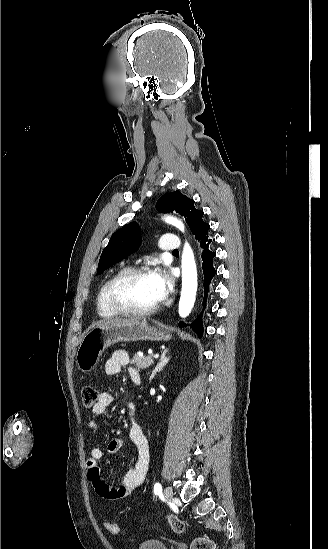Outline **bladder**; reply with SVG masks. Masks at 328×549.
Segmentation results:
<instances>
[{"label":"bladder","instance_id":"1","mask_svg":"<svg viewBox=\"0 0 328 549\" xmlns=\"http://www.w3.org/2000/svg\"><path fill=\"white\" fill-rule=\"evenodd\" d=\"M142 549H167L165 545L161 542H157L154 540H147Z\"/></svg>","mask_w":328,"mask_h":549}]
</instances>
